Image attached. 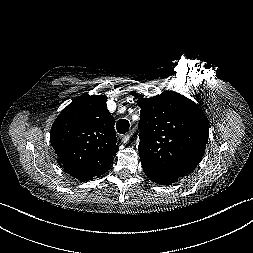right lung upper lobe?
Listing matches in <instances>:
<instances>
[{"mask_svg":"<svg viewBox=\"0 0 253 253\" xmlns=\"http://www.w3.org/2000/svg\"><path fill=\"white\" fill-rule=\"evenodd\" d=\"M105 95H85L55 119L50 140L65 172L81 181L104 174L119 150Z\"/></svg>","mask_w":253,"mask_h":253,"instance_id":"cb5924a9","label":"right lung upper lobe"}]
</instances>
